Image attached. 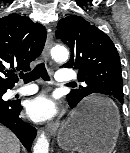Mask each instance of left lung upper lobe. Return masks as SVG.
<instances>
[{"label": "left lung upper lobe", "mask_w": 130, "mask_h": 153, "mask_svg": "<svg viewBox=\"0 0 130 153\" xmlns=\"http://www.w3.org/2000/svg\"><path fill=\"white\" fill-rule=\"evenodd\" d=\"M56 36L71 49V58L61 67L78 69V79L84 83L67 96L76 106L84 97L100 93L123 103V80L120 57L111 39L97 27L77 15L62 18Z\"/></svg>", "instance_id": "obj_1"}]
</instances>
